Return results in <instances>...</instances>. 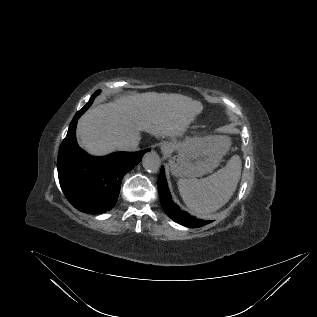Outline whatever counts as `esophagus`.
<instances>
[{
  "instance_id": "esophagus-1",
  "label": "esophagus",
  "mask_w": 317,
  "mask_h": 317,
  "mask_svg": "<svg viewBox=\"0 0 317 317\" xmlns=\"http://www.w3.org/2000/svg\"><path fill=\"white\" fill-rule=\"evenodd\" d=\"M161 150H162V152H163L164 154L168 153V151H169L166 147H162Z\"/></svg>"
}]
</instances>
